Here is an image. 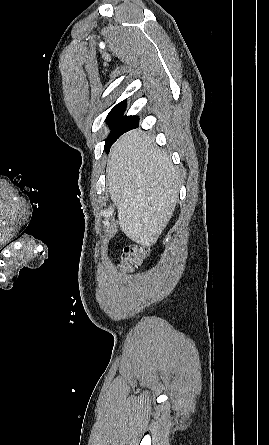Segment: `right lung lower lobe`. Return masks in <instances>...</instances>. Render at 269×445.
<instances>
[{
    "instance_id": "obj_1",
    "label": "right lung lower lobe",
    "mask_w": 269,
    "mask_h": 445,
    "mask_svg": "<svg viewBox=\"0 0 269 445\" xmlns=\"http://www.w3.org/2000/svg\"><path fill=\"white\" fill-rule=\"evenodd\" d=\"M136 126H138V124H136L133 128H135ZM133 128H131V129H133ZM131 129H129V130H131Z\"/></svg>"
}]
</instances>
